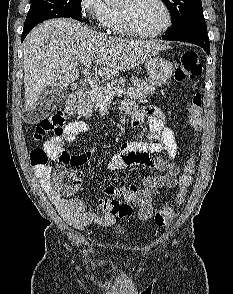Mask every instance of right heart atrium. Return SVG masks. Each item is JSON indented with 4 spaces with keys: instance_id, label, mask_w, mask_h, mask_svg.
<instances>
[{
    "instance_id": "d8ad5b80",
    "label": "right heart atrium",
    "mask_w": 233,
    "mask_h": 294,
    "mask_svg": "<svg viewBox=\"0 0 233 294\" xmlns=\"http://www.w3.org/2000/svg\"><path fill=\"white\" fill-rule=\"evenodd\" d=\"M80 12L91 24L98 28H107L110 7L104 0H80Z\"/></svg>"
}]
</instances>
